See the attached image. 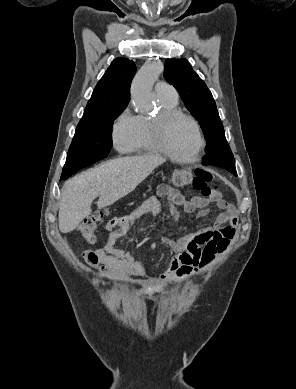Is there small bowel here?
I'll use <instances>...</instances> for the list:
<instances>
[{
	"label": "small bowel",
	"mask_w": 296,
	"mask_h": 389,
	"mask_svg": "<svg viewBox=\"0 0 296 389\" xmlns=\"http://www.w3.org/2000/svg\"><path fill=\"white\" fill-rule=\"evenodd\" d=\"M162 197H167L171 213L175 218L179 216V207L189 214L197 212L200 217L207 214L206 207L209 199L194 196L187 200L177 189L161 185L157 189V194L148 198L141 207L123 218L108 221L105 229L111 232L104 246L85 252L83 254L85 261L106 276L112 275L119 278L130 272H136L138 268L129 253L117 247L116 243L143 213L157 214L160 210L159 199ZM212 200L222 210L213 226L176 239L168 237L162 239V243L173 252L167 269L161 276L163 283L179 282L205 270L235 238L238 228L236 208L218 195ZM156 290L157 286L154 285L146 289L147 293H153Z\"/></svg>",
	"instance_id": "small-bowel-1"
}]
</instances>
